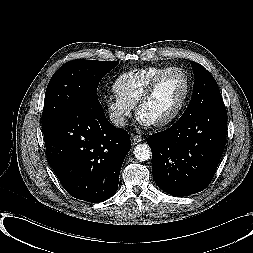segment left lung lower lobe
I'll return each instance as SVG.
<instances>
[{"label": "left lung lower lobe", "mask_w": 253, "mask_h": 253, "mask_svg": "<svg viewBox=\"0 0 253 253\" xmlns=\"http://www.w3.org/2000/svg\"><path fill=\"white\" fill-rule=\"evenodd\" d=\"M223 101L184 114L165 131L150 135L152 172L157 186L173 196L204 190L211 182L226 143Z\"/></svg>", "instance_id": "obj_1"}]
</instances>
